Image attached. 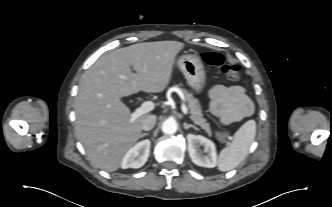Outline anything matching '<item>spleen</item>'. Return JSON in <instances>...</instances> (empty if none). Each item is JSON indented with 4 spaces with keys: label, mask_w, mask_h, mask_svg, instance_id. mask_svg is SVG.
I'll return each instance as SVG.
<instances>
[{
    "label": "spleen",
    "mask_w": 332,
    "mask_h": 207,
    "mask_svg": "<svg viewBox=\"0 0 332 207\" xmlns=\"http://www.w3.org/2000/svg\"><path fill=\"white\" fill-rule=\"evenodd\" d=\"M256 135V122L249 120L234 135L230 145L223 148L218 158V169L230 171L237 167L246 157Z\"/></svg>",
    "instance_id": "1"
}]
</instances>
